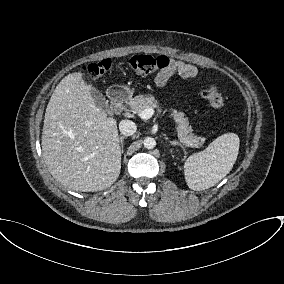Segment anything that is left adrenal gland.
I'll return each mask as SVG.
<instances>
[{
    "label": "left adrenal gland",
    "instance_id": "left-adrenal-gland-1",
    "mask_svg": "<svg viewBox=\"0 0 284 284\" xmlns=\"http://www.w3.org/2000/svg\"><path fill=\"white\" fill-rule=\"evenodd\" d=\"M169 143H170L171 145H173V146H176V145L180 146V147L183 149V151L185 152L184 146H183L181 143H179L178 141H176V140H170Z\"/></svg>",
    "mask_w": 284,
    "mask_h": 284
}]
</instances>
